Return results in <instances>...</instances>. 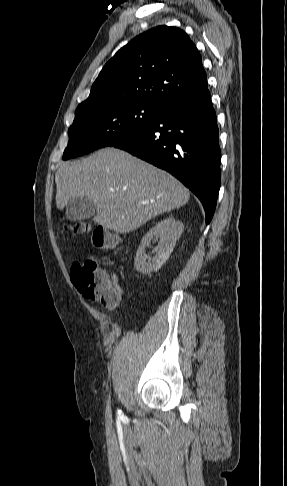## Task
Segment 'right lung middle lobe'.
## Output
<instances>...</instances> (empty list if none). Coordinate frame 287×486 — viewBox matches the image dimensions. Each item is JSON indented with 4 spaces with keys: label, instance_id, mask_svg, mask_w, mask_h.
I'll list each match as a JSON object with an SVG mask.
<instances>
[{
    "label": "right lung middle lobe",
    "instance_id": "1",
    "mask_svg": "<svg viewBox=\"0 0 287 486\" xmlns=\"http://www.w3.org/2000/svg\"><path fill=\"white\" fill-rule=\"evenodd\" d=\"M162 108L153 101L121 100L76 111L63 159L129 141L159 117Z\"/></svg>",
    "mask_w": 287,
    "mask_h": 486
}]
</instances>
